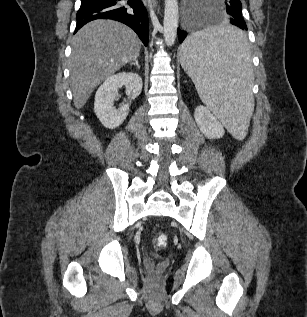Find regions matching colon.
Wrapping results in <instances>:
<instances>
[{"label": "colon", "instance_id": "colon-1", "mask_svg": "<svg viewBox=\"0 0 307 317\" xmlns=\"http://www.w3.org/2000/svg\"><path fill=\"white\" fill-rule=\"evenodd\" d=\"M167 244V237L165 234L161 233L158 234L154 239V248L156 250H161Z\"/></svg>", "mask_w": 307, "mask_h": 317}]
</instances>
